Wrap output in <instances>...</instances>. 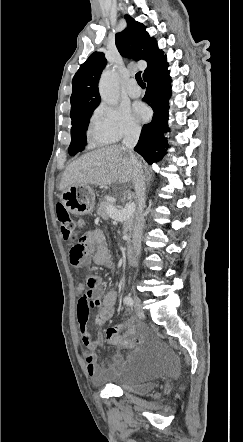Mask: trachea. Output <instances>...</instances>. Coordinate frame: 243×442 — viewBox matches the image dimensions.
<instances>
[{"label": "trachea", "mask_w": 243, "mask_h": 442, "mask_svg": "<svg viewBox=\"0 0 243 442\" xmlns=\"http://www.w3.org/2000/svg\"><path fill=\"white\" fill-rule=\"evenodd\" d=\"M135 78H136V81L139 85H145V83L143 82L142 77H141V72H137L135 75Z\"/></svg>", "instance_id": "trachea-1"}]
</instances>
